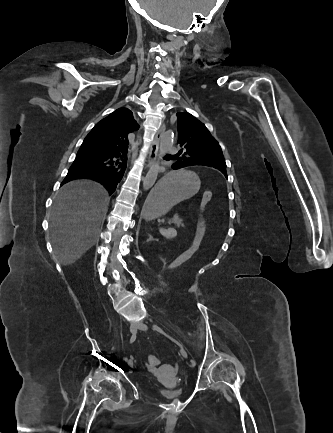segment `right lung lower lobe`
Returning a JSON list of instances; mask_svg holds the SVG:
<instances>
[{
    "label": "right lung lower lobe",
    "mask_w": 333,
    "mask_h": 433,
    "mask_svg": "<svg viewBox=\"0 0 333 433\" xmlns=\"http://www.w3.org/2000/svg\"><path fill=\"white\" fill-rule=\"evenodd\" d=\"M94 143L87 137L81 147L94 149L92 146ZM127 150L107 153H77L62 184L75 179L88 178L104 185L111 195L121 181L127 167V157L119 159L122 157L121 153L127 154Z\"/></svg>",
    "instance_id": "right-lung-lower-lobe-1"
}]
</instances>
